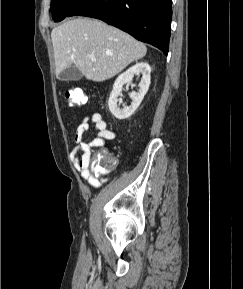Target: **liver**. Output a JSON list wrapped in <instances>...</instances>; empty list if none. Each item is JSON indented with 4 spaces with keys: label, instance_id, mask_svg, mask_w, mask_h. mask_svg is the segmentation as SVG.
I'll use <instances>...</instances> for the list:
<instances>
[{
    "label": "liver",
    "instance_id": "obj_1",
    "mask_svg": "<svg viewBox=\"0 0 243 289\" xmlns=\"http://www.w3.org/2000/svg\"><path fill=\"white\" fill-rule=\"evenodd\" d=\"M55 73L75 67L88 80L102 82L146 55V46L124 31L97 19L76 18L51 32ZM94 55L96 61L90 59Z\"/></svg>",
    "mask_w": 243,
    "mask_h": 289
}]
</instances>
